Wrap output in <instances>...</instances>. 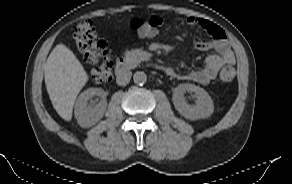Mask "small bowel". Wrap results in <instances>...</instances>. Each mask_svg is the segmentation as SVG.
I'll list each match as a JSON object with an SVG mask.
<instances>
[{
    "label": "small bowel",
    "instance_id": "c3829d8e",
    "mask_svg": "<svg viewBox=\"0 0 292 184\" xmlns=\"http://www.w3.org/2000/svg\"><path fill=\"white\" fill-rule=\"evenodd\" d=\"M153 16L161 22V25L163 24V18L161 16ZM184 20L188 25L199 27L211 36L209 41H202L199 38H195L193 41L194 47L202 51L215 50V53L206 58V64L201 69L180 74L172 68H167L166 72L181 80L207 85L216 78L218 71L223 65L235 63V55L227 41L224 31L218 25L194 16H186Z\"/></svg>",
    "mask_w": 292,
    "mask_h": 184
}]
</instances>
